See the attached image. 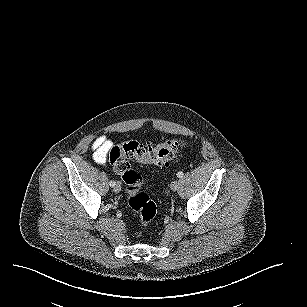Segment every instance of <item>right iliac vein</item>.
<instances>
[{"instance_id": "right-iliac-vein-1", "label": "right iliac vein", "mask_w": 307, "mask_h": 307, "mask_svg": "<svg viewBox=\"0 0 307 307\" xmlns=\"http://www.w3.org/2000/svg\"><path fill=\"white\" fill-rule=\"evenodd\" d=\"M115 193H119L121 191V185L119 182H117L113 188Z\"/></svg>"}]
</instances>
